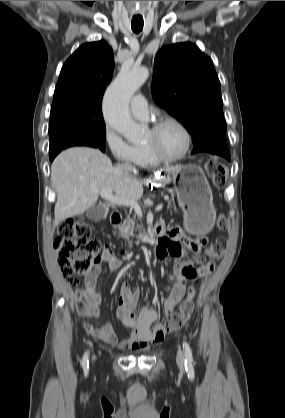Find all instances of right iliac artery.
I'll use <instances>...</instances> for the list:
<instances>
[{"mask_svg":"<svg viewBox=\"0 0 285 418\" xmlns=\"http://www.w3.org/2000/svg\"><path fill=\"white\" fill-rule=\"evenodd\" d=\"M88 358H89V352L87 351V352H85V354L83 356V359H82V367H83L85 373L88 372V366H89V359Z\"/></svg>","mask_w":285,"mask_h":418,"instance_id":"82829eb1","label":"right iliac artery"}]
</instances>
